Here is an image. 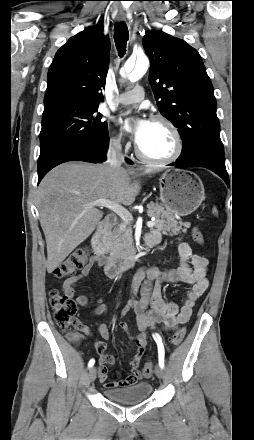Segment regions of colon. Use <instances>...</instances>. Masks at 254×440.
Returning <instances> with one entry per match:
<instances>
[{"label":"colon","instance_id":"5ec220e1","mask_svg":"<svg viewBox=\"0 0 254 440\" xmlns=\"http://www.w3.org/2000/svg\"><path fill=\"white\" fill-rule=\"evenodd\" d=\"M192 237L199 245L205 244L204 235L198 228H194L192 230ZM88 256L89 253L86 248H78L55 267L53 270L54 276L58 278H65L73 275L86 263ZM50 305L53 311L55 324L58 326V328L70 331V340H79L80 335L77 330L80 328V326L75 318L77 313L76 303L65 293L54 289L50 292ZM185 334V328L178 329L172 335L171 344L174 347L180 345L185 337ZM143 373L147 377H150L153 374V364L151 362H147L144 365Z\"/></svg>","mask_w":254,"mask_h":440}]
</instances>
